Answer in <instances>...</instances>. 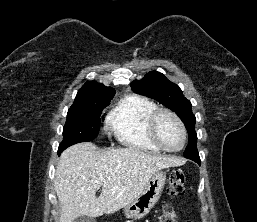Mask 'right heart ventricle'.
<instances>
[{
  "label": "right heart ventricle",
  "mask_w": 257,
  "mask_h": 222,
  "mask_svg": "<svg viewBox=\"0 0 257 222\" xmlns=\"http://www.w3.org/2000/svg\"><path fill=\"white\" fill-rule=\"evenodd\" d=\"M156 109L157 105L144 96H126L108 113L107 126L123 146L160 153L162 150L153 143L147 132L148 119Z\"/></svg>",
  "instance_id": "obj_1"
}]
</instances>
